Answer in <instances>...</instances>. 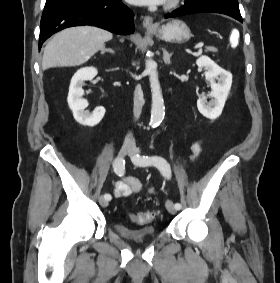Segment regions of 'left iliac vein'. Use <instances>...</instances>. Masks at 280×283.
Wrapping results in <instances>:
<instances>
[{"mask_svg": "<svg viewBox=\"0 0 280 283\" xmlns=\"http://www.w3.org/2000/svg\"><path fill=\"white\" fill-rule=\"evenodd\" d=\"M139 153H140V151L138 149H133L129 154V156L131 157L132 161L135 164H137L136 163V157ZM165 206H166V209L168 210V212L171 213V214H175L178 210V209H176L174 203L171 200H167Z\"/></svg>", "mask_w": 280, "mask_h": 283, "instance_id": "left-iliac-vein-1", "label": "left iliac vein"}]
</instances>
